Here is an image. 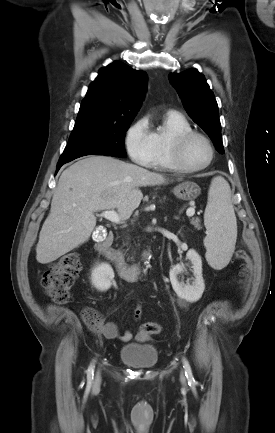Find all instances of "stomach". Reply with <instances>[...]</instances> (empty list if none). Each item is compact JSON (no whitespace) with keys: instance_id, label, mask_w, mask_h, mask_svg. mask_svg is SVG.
Instances as JSON below:
<instances>
[{"instance_id":"obj_1","label":"stomach","mask_w":275,"mask_h":433,"mask_svg":"<svg viewBox=\"0 0 275 433\" xmlns=\"http://www.w3.org/2000/svg\"><path fill=\"white\" fill-rule=\"evenodd\" d=\"M200 187L191 181L183 182L173 189L174 195L181 200H194L200 195Z\"/></svg>"}]
</instances>
